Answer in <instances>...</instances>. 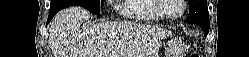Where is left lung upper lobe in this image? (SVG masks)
Wrapping results in <instances>:
<instances>
[{
  "mask_svg": "<svg viewBox=\"0 0 249 57\" xmlns=\"http://www.w3.org/2000/svg\"><path fill=\"white\" fill-rule=\"evenodd\" d=\"M188 3L190 12L186 22L209 24L207 0H188Z\"/></svg>",
  "mask_w": 249,
  "mask_h": 57,
  "instance_id": "left-lung-upper-lobe-1",
  "label": "left lung upper lobe"
}]
</instances>
